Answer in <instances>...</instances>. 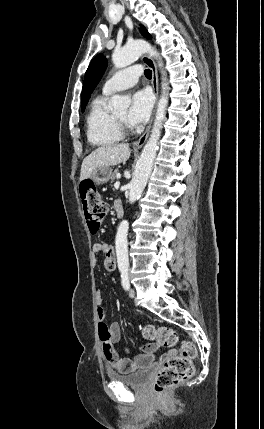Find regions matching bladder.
Wrapping results in <instances>:
<instances>
[{
    "mask_svg": "<svg viewBox=\"0 0 264 429\" xmlns=\"http://www.w3.org/2000/svg\"><path fill=\"white\" fill-rule=\"evenodd\" d=\"M153 374V369L148 368L141 371H136L128 374H119L108 372L107 376L111 381L121 383L126 386L140 388L144 386Z\"/></svg>",
    "mask_w": 264,
    "mask_h": 429,
    "instance_id": "31cf9c89",
    "label": "bladder"
}]
</instances>
